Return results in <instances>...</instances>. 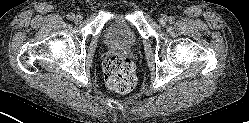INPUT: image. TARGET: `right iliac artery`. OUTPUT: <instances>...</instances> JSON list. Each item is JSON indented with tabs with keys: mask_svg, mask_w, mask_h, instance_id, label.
I'll return each instance as SVG.
<instances>
[{
	"mask_svg": "<svg viewBox=\"0 0 249 123\" xmlns=\"http://www.w3.org/2000/svg\"><path fill=\"white\" fill-rule=\"evenodd\" d=\"M75 18V15L73 14V13H69L68 15H67V19L68 20H73Z\"/></svg>",
	"mask_w": 249,
	"mask_h": 123,
	"instance_id": "obj_1",
	"label": "right iliac artery"
}]
</instances>
